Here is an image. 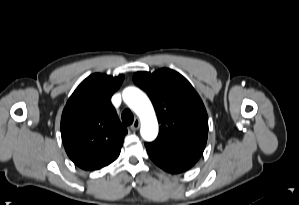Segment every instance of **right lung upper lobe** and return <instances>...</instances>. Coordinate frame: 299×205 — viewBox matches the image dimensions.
Instances as JSON below:
<instances>
[{
  "instance_id": "right-lung-upper-lobe-1",
  "label": "right lung upper lobe",
  "mask_w": 299,
  "mask_h": 205,
  "mask_svg": "<svg viewBox=\"0 0 299 205\" xmlns=\"http://www.w3.org/2000/svg\"><path fill=\"white\" fill-rule=\"evenodd\" d=\"M123 75L92 74L69 98L61 118V136L70 159L84 170L109 165L120 154L127 129L111 104Z\"/></svg>"
}]
</instances>
